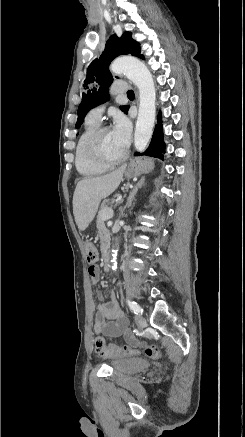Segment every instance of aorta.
I'll list each match as a JSON object with an SVG mask.
<instances>
[{
    "instance_id": "1",
    "label": "aorta",
    "mask_w": 245,
    "mask_h": 437,
    "mask_svg": "<svg viewBox=\"0 0 245 437\" xmlns=\"http://www.w3.org/2000/svg\"><path fill=\"white\" fill-rule=\"evenodd\" d=\"M115 74H124L139 90V111L136 122L134 145L137 151L143 152L153 133L156 113V91L153 77L146 65L137 58L126 56L116 59L111 65ZM112 269L117 268V250L112 251Z\"/></svg>"
}]
</instances>
